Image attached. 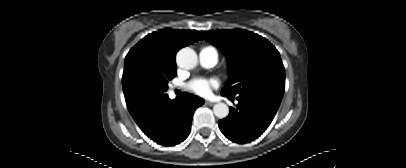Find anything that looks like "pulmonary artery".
Instances as JSON below:
<instances>
[{"instance_id": "1", "label": "pulmonary artery", "mask_w": 406, "mask_h": 168, "mask_svg": "<svg viewBox=\"0 0 406 168\" xmlns=\"http://www.w3.org/2000/svg\"><path fill=\"white\" fill-rule=\"evenodd\" d=\"M199 59L202 66L213 67L218 61L217 51L214 48L202 49L199 53Z\"/></svg>"}]
</instances>
